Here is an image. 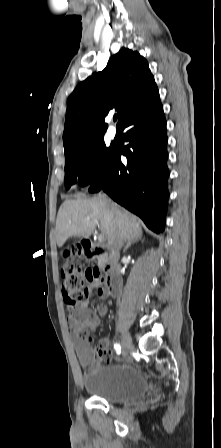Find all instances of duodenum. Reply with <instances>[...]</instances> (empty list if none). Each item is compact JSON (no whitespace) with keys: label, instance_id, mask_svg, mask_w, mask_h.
Segmentation results:
<instances>
[{"label":"duodenum","instance_id":"410a0bca","mask_svg":"<svg viewBox=\"0 0 221 448\" xmlns=\"http://www.w3.org/2000/svg\"><path fill=\"white\" fill-rule=\"evenodd\" d=\"M81 246L85 257L93 258L98 261V264L104 274L102 286L104 287L106 293L117 295L121 286L119 268L113 264L112 260L108 256V253L101 247L94 246L88 239H83Z\"/></svg>","mask_w":221,"mask_h":448}]
</instances>
